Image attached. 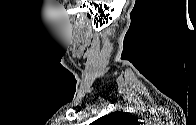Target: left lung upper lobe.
<instances>
[{"instance_id":"left-lung-upper-lobe-1","label":"left lung upper lobe","mask_w":196,"mask_h":125,"mask_svg":"<svg viewBox=\"0 0 196 125\" xmlns=\"http://www.w3.org/2000/svg\"><path fill=\"white\" fill-rule=\"evenodd\" d=\"M96 125H136L137 119L125 112H113L108 115L102 116L96 121Z\"/></svg>"}]
</instances>
